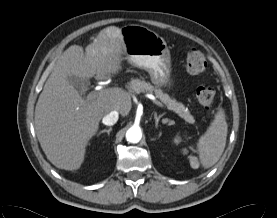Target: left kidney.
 I'll return each instance as SVG.
<instances>
[{
  "label": "left kidney",
  "instance_id": "obj_1",
  "mask_svg": "<svg viewBox=\"0 0 277 218\" xmlns=\"http://www.w3.org/2000/svg\"><path fill=\"white\" fill-rule=\"evenodd\" d=\"M174 142H175L176 144H179V143L181 142V139H180L179 137H177V138L174 139Z\"/></svg>",
  "mask_w": 277,
  "mask_h": 218
}]
</instances>
